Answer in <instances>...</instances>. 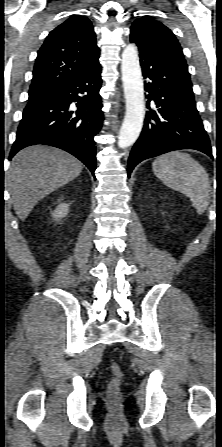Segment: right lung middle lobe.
<instances>
[{"mask_svg": "<svg viewBox=\"0 0 222 447\" xmlns=\"http://www.w3.org/2000/svg\"><path fill=\"white\" fill-rule=\"evenodd\" d=\"M37 102H39V101L29 100V103H28V104H34V103H37Z\"/></svg>", "mask_w": 222, "mask_h": 447, "instance_id": "obj_1", "label": "right lung middle lobe"}]
</instances>
